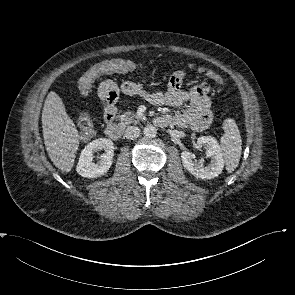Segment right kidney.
<instances>
[{"instance_id":"1","label":"right kidney","mask_w":295,"mask_h":295,"mask_svg":"<svg viewBox=\"0 0 295 295\" xmlns=\"http://www.w3.org/2000/svg\"><path fill=\"white\" fill-rule=\"evenodd\" d=\"M104 150L100 161L93 162L94 153ZM114 156V144L111 140L99 138L90 142L81 152L76 171L85 178H97L106 174L112 165Z\"/></svg>"}]
</instances>
